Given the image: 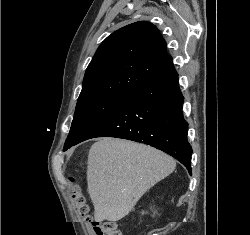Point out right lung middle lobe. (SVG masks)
<instances>
[{"label":"right lung middle lobe","mask_w":250,"mask_h":235,"mask_svg":"<svg viewBox=\"0 0 250 235\" xmlns=\"http://www.w3.org/2000/svg\"><path fill=\"white\" fill-rule=\"evenodd\" d=\"M132 95L98 93L78 99L74 119L64 148L73 145L88 130L121 107Z\"/></svg>","instance_id":"right-lung-middle-lobe-1"}]
</instances>
